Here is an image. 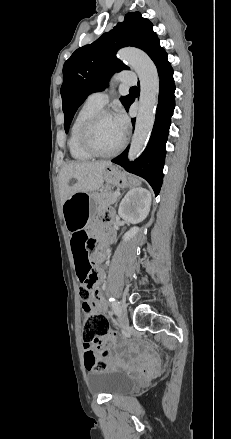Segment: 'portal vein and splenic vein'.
<instances>
[{"label": "portal vein and splenic vein", "instance_id": "18ae733b", "mask_svg": "<svg viewBox=\"0 0 231 439\" xmlns=\"http://www.w3.org/2000/svg\"><path fill=\"white\" fill-rule=\"evenodd\" d=\"M114 195H115V196H119L120 193H119L118 191H116V192L114 193Z\"/></svg>", "mask_w": 231, "mask_h": 439}]
</instances>
